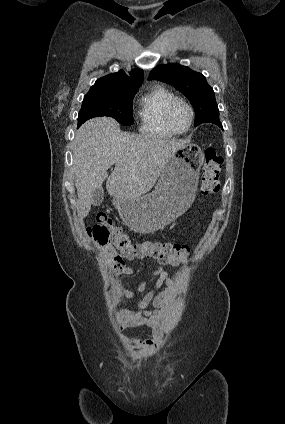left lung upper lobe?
I'll return each mask as SVG.
<instances>
[{"label": "left lung upper lobe", "mask_w": 285, "mask_h": 424, "mask_svg": "<svg viewBox=\"0 0 285 424\" xmlns=\"http://www.w3.org/2000/svg\"><path fill=\"white\" fill-rule=\"evenodd\" d=\"M149 79L171 84L191 101L196 113L195 127L205 122L217 125L219 110L215 94L201 73L173 63L155 67L151 71Z\"/></svg>", "instance_id": "1"}]
</instances>
